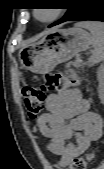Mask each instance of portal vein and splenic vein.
I'll use <instances>...</instances> for the list:
<instances>
[{
    "label": "portal vein and splenic vein",
    "mask_w": 104,
    "mask_h": 169,
    "mask_svg": "<svg viewBox=\"0 0 104 169\" xmlns=\"http://www.w3.org/2000/svg\"><path fill=\"white\" fill-rule=\"evenodd\" d=\"M81 60L79 58H77V62H80Z\"/></svg>",
    "instance_id": "obj_1"
}]
</instances>
